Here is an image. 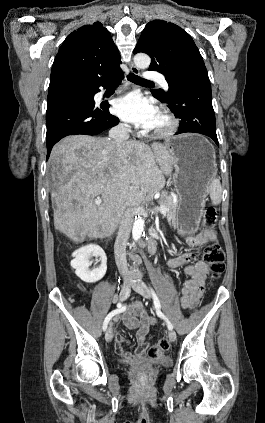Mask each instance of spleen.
<instances>
[{
  "mask_svg": "<svg viewBox=\"0 0 265 423\" xmlns=\"http://www.w3.org/2000/svg\"><path fill=\"white\" fill-rule=\"evenodd\" d=\"M210 198L213 205H218L221 202L222 188L218 178H213L209 185Z\"/></svg>",
  "mask_w": 265,
  "mask_h": 423,
  "instance_id": "1",
  "label": "spleen"
}]
</instances>
